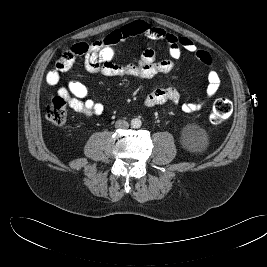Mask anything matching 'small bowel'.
<instances>
[{
  "mask_svg": "<svg viewBox=\"0 0 267 267\" xmlns=\"http://www.w3.org/2000/svg\"><path fill=\"white\" fill-rule=\"evenodd\" d=\"M135 36H143L166 43L170 57L157 61L155 50L147 48L135 63L124 65L114 63L113 57L116 46ZM184 52L194 54L199 61L207 66L211 65L210 54L198 49L191 39L177 37L146 21L135 20L92 43L80 42L72 45L60 55L54 68L46 74V81L51 86L57 85L61 73L68 71L77 57H83L84 67L90 73L104 76H132L144 82H152L151 89L144 99V105L147 108L165 103L179 104L181 100L180 92L172 85H165V81L174 69L175 61L181 58ZM207 81L205 95L182 103L181 109L183 112L193 113L201 110L208 99L216 95L221 80L214 69L208 71ZM57 94L68 102L72 110L86 116L100 115L104 111L102 103L87 98L88 88L78 80H70L66 87H60L57 90Z\"/></svg>",
  "mask_w": 267,
  "mask_h": 267,
  "instance_id": "small-bowel-1",
  "label": "small bowel"
}]
</instances>
